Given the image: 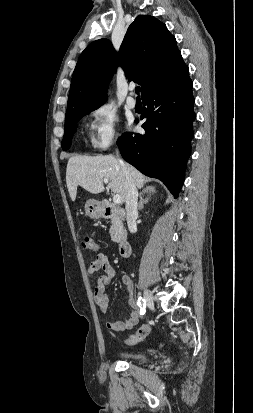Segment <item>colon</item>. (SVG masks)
<instances>
[{"mask_svg":"<svg viewBox=\"0 0 253 413\" xmlns=\"http://www.w3.org/2000/svg\"><path fill=\"white\" fill-rule=\"evenodd\" d=\"M81 244H82V247H83L84 249H87V250H90V251H97V250L99 249V246H98L97 242H96L93 238H91L90 236H88V235H85V236L82 238ZM150 330H151V324H150V323H145V324H143V325L137 330L136 333H134L133 335H131V336L126 340L127 343H129V344H134V343H137V342L143 340V339L148 335V333L150 332Z\"/></svg>","mask_w":253,"mask_h":413,"instance_id":"obj_1","label":"colon"}]
</instances>
